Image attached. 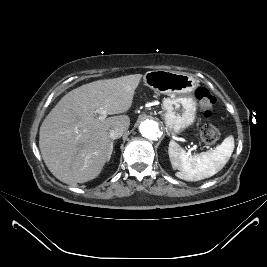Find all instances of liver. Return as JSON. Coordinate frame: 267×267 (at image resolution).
<instances>
[{"instance_id":"1","label":"liver","mask_w":267,"mask_h":267,"mask_svg":"<svg viewBox=\"0 0 267 267\" xmlns=\"http://www.w3.org/2000/svg\"><path fill=\"white\" fill-rule=\"evenodd\" d=\"M142 74L98 80L64 95L41 124L39 148L50 172L66 184L84 183L96 178L112 154L109 130L129 128L127 115L100 120L97 110L106 114L127 112L133 102Z\"/></svg>"}]
</instances>
